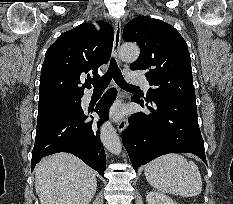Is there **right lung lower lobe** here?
Returning a JSON list of instances; mask_svg holds the SVG:
<instances>
[{"mask_svg":"<svg viewBox=\"0 0 233 204\" xmlns=\"http://www.w3.org/2000/svg\"><path fill=\"white\" fill-rule=\"evenodd\" d=\"M114 99L115 90L110 89L98 102L95 111L100 115L101 121L97 126L92 125V121H87L89 115L80 107L72 114L64 115L37 129L32 151V170L44 156L68 152L103 176L106 156L103 144L100 142L99 127L108 119L109 108Z\"/></svg>","mask_w":233,"mask_h":204,"instance_id":"1","label":"right lung lower lobe"}]
</instances>
